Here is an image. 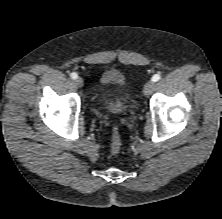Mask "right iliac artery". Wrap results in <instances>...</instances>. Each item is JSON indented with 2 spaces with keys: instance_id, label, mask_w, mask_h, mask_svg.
<instances>
[{
  "instance_id": "1",
  "label": "right iliac artery",
  "mask_w": 222,
  "mask_h": 219,
  "mask_svg": "<svg viewBox=\"0 0 222 219\" xmlns=\"http://www.w3.org/2000/svg\"><path fill=\"white\" fill-rule=\"evenodd\" d=\"M70 76L72 79H76L78 77V75L75 72L71 73Z\"/></svg>"
}]
</instances>
